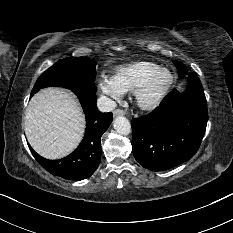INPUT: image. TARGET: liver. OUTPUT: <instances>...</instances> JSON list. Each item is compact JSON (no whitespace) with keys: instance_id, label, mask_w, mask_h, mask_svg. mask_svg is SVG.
<instances>
[{"instance_id":"1","label":"liver","mask_w":233,"mask_h":233,"mask_svg":"<svg viewBox=\"0 0 233 233\" xmlns=\"http://www.w3.org/2000/svg\"><path fill=\"white\" fill-rule=\"evenodd\" d=\"M85 132L79 102L67 90L45 88L35 94L25 113V134L31 147L48 159L70 154Z\"/></svg>"}]
</instances>
